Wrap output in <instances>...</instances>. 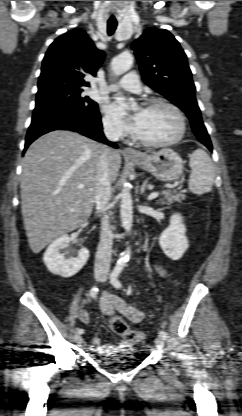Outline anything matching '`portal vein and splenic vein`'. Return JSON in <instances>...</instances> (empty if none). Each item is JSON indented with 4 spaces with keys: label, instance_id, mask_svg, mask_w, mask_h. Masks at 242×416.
I'll return each instance as SVG.
<instances>
[{
    "label": "portal vein and splenic vein",
    "instance_id": "portal-vein-and-splenic-vein-1",
    "mask_svg": "<svg viewBox=\"0 0 242 416\" xmlns=\"http://www.w3.org/2000/svg\"><path fill=\"white\" fill-rule=\"evenodd\" d=\"M78 188L82 189V188H83V185H78ZM158 196H159V193H158V192H152V193L148 196V198H149V199H155V198H157Z\"/></svg>",
    "mask_w": 242,
    "mask_h": 416
}]
</instances>
